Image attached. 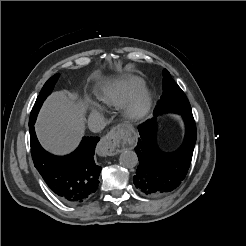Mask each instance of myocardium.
Returning a JSON list of instances; mask_svg holds the SVG:
<instances>
[{"label": "myocardium", "mask_w": 246, "mask_h": 246, "mask_svg": "<svg viewBox=\"0 0 246 246\" xmlns=\"http://www.w3.org/2000/svg\"><path fill=\"white\" fill-rule=\"evenodd\" d=\"M152 104V94L149 91L142 90L124 104L123 116L130 122H141L149 115Z\"/></svg>", "instance_id": "f54148a6"}]
</instances>
